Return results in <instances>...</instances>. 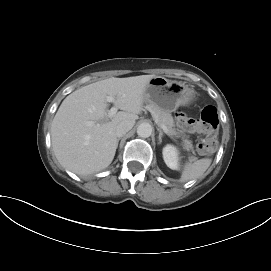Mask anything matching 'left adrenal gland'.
<instances>
[{"instance_id":"obj_1","label":"left adrenal gland","mask_w":271,"mask_h":271,"mask_svg":"<svg viewBox=\"0 0 271 271\" xmlns=\"http://www.w3.org/2000/svg\"><path fill=\"white\" fill-rule=\"evenodd\" d=\"M157 130L159 132V136H158L159 142H158V144H161L162 143L163 132L160 129H157Z\"/></svg>"}]
</instances>
